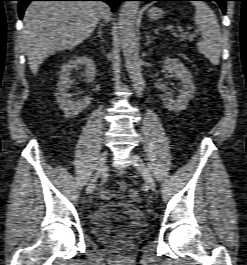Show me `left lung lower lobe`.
<instances>
[{
  "label": "left lung lower lobe",
  "mask_w": 247,
  "mask_h": 265,
  "mask_svg": "<svg viewBox=\"0 0 247 265\" xmlns=\"http://www.w3.org/2000/svg\"><path fill=\"white\" fill-rule=\"evenodd\" d=\"M137 1H145L146 3H149L151 1H177V0H137ZM185 1H194V0H185ZM202 1H215L217 2L223 13L225 14L226 13V1H229V0H202Z\"/></svg>",
  "instance_id": "obj_1"
}]
</instances>
